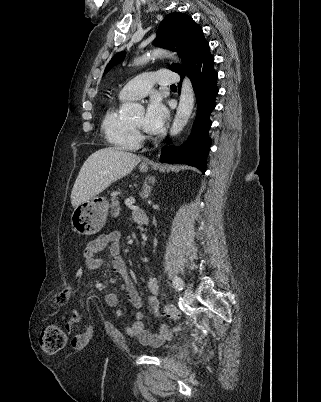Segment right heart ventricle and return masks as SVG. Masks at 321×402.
Segmentation results:
<instances>
[{"mask_svg": "<svg viewBox=\"0 0 321 402\" xmlns=\"http://www.w3.org/2000/svg\"><path fill=\"white\" fill-rule=\"evenodd\" d=\"M106 141L121 150H135L140 146V139L131 128L130 122L122 118L116 107L107 109L101 124Z\"/></svg>", "mask_w": 321, "mask_h": 402, "instance_id": "1", "label": "right heart ventricle"}]
</instances>
